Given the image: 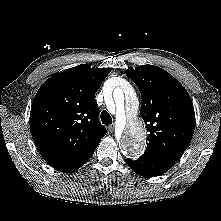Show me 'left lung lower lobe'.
Wrapping results in <instances>:
<instances>
[{
    "mask_svg": "<svg viewBox=\"0 0 221 221\" xmlns=\"http://www.w3.org/2000/svg\"><path fill=\"white\" fill-rule=\"evenodd\" d=\"M129 167L143 177L160 176L172 167V164L157 158L142 155L138 160H125Z\"/></svg>",
    "mask_w": 221,
    "mask_h": 221,
    "instance_id": "1",
    "label": "left lung lower lobe"
}]
</instances>
